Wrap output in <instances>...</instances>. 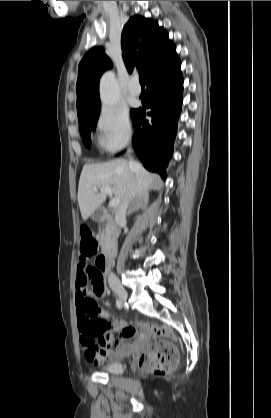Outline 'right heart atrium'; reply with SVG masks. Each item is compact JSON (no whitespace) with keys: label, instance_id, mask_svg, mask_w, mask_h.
<instances>
[{"label":"right heart atrium","instance_id":"1","mask_svg":"<svg viewBox=\"0 0 271 418\" xmlns=\"http://www.w3.org/2000/svg\"><path fill=\"white\" fill-rule=\"evenodd\" d=\"M99 145L108 153H115L128 145L132 138V124L128 112L119 107H103L97 117Z\"/></svg>","mask_w":271,"mask_h":418}]
</instances>
